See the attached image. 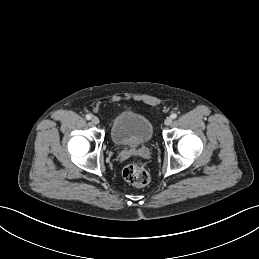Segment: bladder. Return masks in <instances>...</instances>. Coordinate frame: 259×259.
Segmentation results:
<instances>
[{
	"label": "bladder",
	"instance_id": "bladder-1",
	"mask_svg": "<svg viewBox=\"0 0 259 259\" xmlns=\"http://www.w3.org/2000/svg\"><path fill=\"white\" fill-rule=\"evenodd\" d=\"M110 134L115 145L137 148L152 139L153 125L142 114L122 111L112 121Z\"/></svg>",
	"mask_w": 259,
	"mask_h": 259
}]
</instances>
